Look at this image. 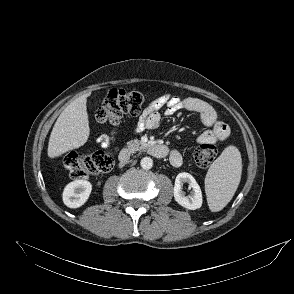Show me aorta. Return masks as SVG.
I'll list each match as a JSON object with an SVG mask.
<instances>
[{
  "mask_svg": "<svg viewBox=\"0 0 294 294\" xmlns=\"http://www.w3.org/2000/svg\"><path fill=\"white\" fill-rule=\"evenodd\" d=\"M140 165L143 169L149 170L153 166V160L150 157H144L141 159Z\"/></svg>",
  "mask_w": 294,
  "mask_h": 294,
  "instance_id": "1",
  "label": "aorta"
}]
</instances>
